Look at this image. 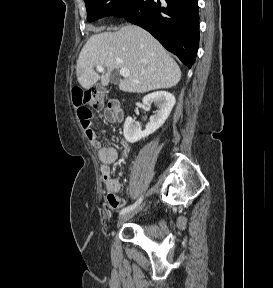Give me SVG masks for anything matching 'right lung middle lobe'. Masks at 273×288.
I'll return each mask as SVG.
<instances>
[{"instance_id":"1","label":"right lung middle lobe","mask_w":273,"mask_h":288,"mask_svg":"<svg viewBox=\"0 0 273 288\" xmlns=\"http://www.w3.org/2000/svg\"><path fill=\"white\" fill-rule=\"evenodd\" d=\"M87 9V21L92 22L105 16L122 17L138 0H84Z\"/></svg>"}]
</instances>
